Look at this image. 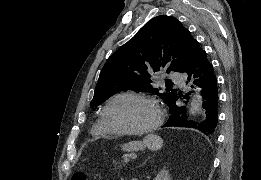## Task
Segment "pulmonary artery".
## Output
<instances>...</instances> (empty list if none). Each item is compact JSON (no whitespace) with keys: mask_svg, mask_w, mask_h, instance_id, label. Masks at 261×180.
I'll return each mask as SVG.
<instances>
[{"mask_svg":"<svg viewBox=\"0 0 261 180\" xmlns=\"http://www.w3.org/2000/svg\"><path fill=\"white\" fill-rule=\"evenodd\" d=\"M169 77H182V72H169ZM172 83H185V78H172Z\"/></svg>","mask_w":261,"mask_h":180,"instance_id":"pulmonary-artery-1","label":"pulmonary artery"}]
</instances>
